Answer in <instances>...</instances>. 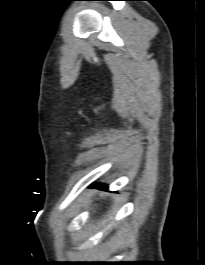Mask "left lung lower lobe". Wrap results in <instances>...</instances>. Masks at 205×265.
Masks as SVG:
<instances>
[{
    "mask_svg": "<svg viewBox=\"0 0 205 265\" xmlns=\"http://www.w3.org/2000/svg\"><path fill=\"white\" fill-rule=\"evenodd\" d=\"M93 187H95V188H99V189H102V190H107V186H105V185H101V184H99V183H94V184H92V185L90 186V188H93Z\"/></svg>",
    "mask_w": 205,
    "mask_h": 265,
    "instance_id": "obj_1",
    "label": "left lung lower lobe"
}]
</instances>
